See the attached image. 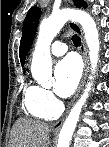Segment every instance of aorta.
Segmentation results:
<instances>
[{"label": "aorta", "mask_w": 109, "mask_h": 147, "mask_svg": "<svg viewBox=\"0 0 109 147\" xmlns=\"http://www.w3.org/2000/svg\"><path fill=\"white\" fill-rule=\"evenodd\" d=\"M68 20L81 24L89 49L91 71L93 73L96 71L99 60L100 41L95 21L87 12L83 10L68 8L62 9L56 13H52L47 19H44L41 22L33 53L31 64L32 76L44 87L49 86L53 80L52 59L50 54L51 43ZM89 79L92 80V76H90ZM91 86L92 82H88L80 99L71 109L61 128L57 147H69L82 107L89 96Z\"/></svg>", "instance_id": "obj_1"}]
</instances>
